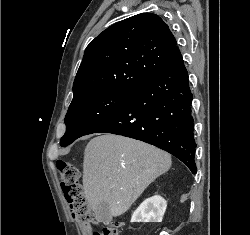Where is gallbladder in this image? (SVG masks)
Listing matches in <instances>:
<instances>
[{
    "mask_svg": "<svg viewBox=\"0 0 250 235\" xmlns=\"http://www.w3.org/2000/svg\"><path fill=\"white\" fill-rule=\"evenodd\" d=\"M98 221L103 223H109L112 220V215L110 213V207L107 203L102 202L98 208L97 212Z\"/></svg>",
    "mask_w": 250,
    "mask_h": 235,
    "instance_id": "1",
    "label": "gallbladder"
}]
</instances>
